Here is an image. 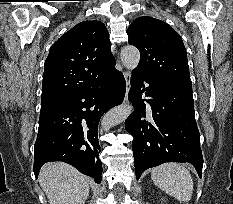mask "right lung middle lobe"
I'll return each instance as SVG.
<instances>
[{
	"label": "right lung middle lobe",
	"mask_w": 233,
	"mask_h": 204,
	"mask_svg": "<svg viewBox=\"0 0 233 204\" xmlns=\"http://www.w3.org/2000/svg\"><path fill=\"white\" fill-rule=\"evenodd\" d=\"M60 103L61 102L41 104V113H40V115H43L45 113L50 112L51 110L56 108Z\"/></svg>",
	"instance_id": "1"
}]
</instances>
